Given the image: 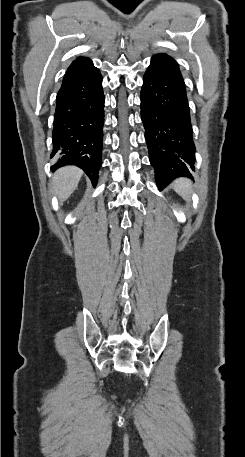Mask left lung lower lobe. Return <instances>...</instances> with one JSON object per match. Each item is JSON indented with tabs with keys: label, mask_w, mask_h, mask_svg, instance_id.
<instances>
[{
	"label": "left lung lower lobe",
	"mask_w": 245,
	"mask_h": 457,
	"mask_svg": "<svg viewBox=\"0 0 245 457\" xmlns=\"http://www.w3.org/2000/svg\"><path fill=\"white\" fill-rule=\"evenodd\" d=\"M141 118L158 188L191 177L195 145L186 86L178 63L167 54L154 55L143 77Z\"/></svg>",
	"instance_id": "1"
}]
</instances>
